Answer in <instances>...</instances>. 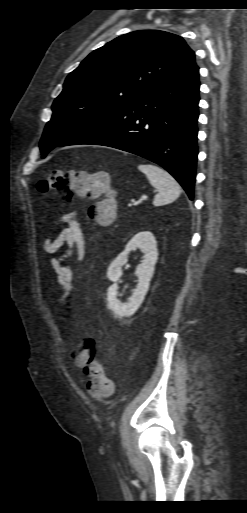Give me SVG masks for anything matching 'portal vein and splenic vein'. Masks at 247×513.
Here are the masks:
<instances>
[{
  "label": "portal vein and splenic vein",
  "mask_w": 247,
  "mask_h": 513,
  "mask_svg": "<svg viewBox=\"0 0 247 513\" xmlns=\"http://www.w3.org/2000/svg\"><path fill=\"white\" fill-rule=\"evenodd\" d=\"M145 200V197L141 198L139 201L135 202V205L141 204ZM129 206H132L130 203Z\"/></svg>",
  "instance_id": "18ae733b"
}]
</instances>
